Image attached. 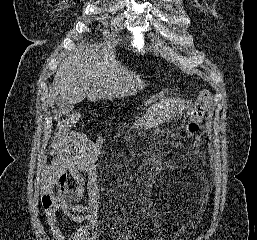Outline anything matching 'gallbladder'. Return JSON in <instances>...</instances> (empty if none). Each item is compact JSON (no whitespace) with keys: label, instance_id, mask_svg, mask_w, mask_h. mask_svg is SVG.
I'll return each mask as SVG.
<instances>
[{"label":"gallbladder","instance_id":"bac80fb5","mask_svg":"<svg viewBox=\"0 0 257 240\" xmlns=\"http://www.w3.org/2000/svg\"><path fill=\"white\" fill-rule=\"evenodd\" d=\"M56 106H57L58 112L65 113V114L70 113L74 108L73 104H70L64 99H62L60 95L56 99Z\"/></svg>","mask_w":257,"mask_h":240}]
</instances>
